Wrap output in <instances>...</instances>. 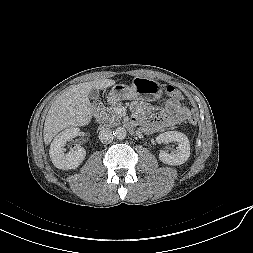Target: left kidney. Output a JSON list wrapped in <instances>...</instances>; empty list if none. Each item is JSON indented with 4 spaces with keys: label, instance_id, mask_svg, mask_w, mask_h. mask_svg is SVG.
Returning <instances> with one entry per match:
<instances>
[{
    "label": "left kidney",
    "instance_id": "obj_1",
    "mask_svg": "<svg viewBox=\"0 0 253 253\" xmlns=\"http://www.w3.org/2000/svg\"><path fill=\"white\" fill-rule=\"evenodd\" d=\"M158 144L176 142L177 150L174 153L160 152L159 159L168 165H181L190 157V143L187 136L178 131H168L157 136Z\"/></svg>",
    "mask_w": 253,
    "mask_h": 253
}]
</instances>
